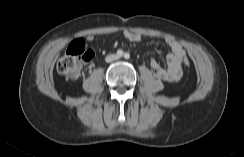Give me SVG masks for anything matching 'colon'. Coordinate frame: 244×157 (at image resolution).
<instances>
[{"label": "colon", "instance_id": "5ec220e1", "mask_svg": "<svg viewBox=\"0 0 244 157\" xmlns=\"http://www.w3.org/2000/svg\"><path fill=\"white\" fill-rule=\"evenodd\" d=\"M94 56L92 50L88 49L82 39L74 40L68 46L66 52L57 62V70L60 74L69 79L76 80L80 77L83 65L89 62ZM183 64L189 67L190 59L185 56Z\"/></svg>", "mask_w": 244, "mask_h": 157}]
</instances>
